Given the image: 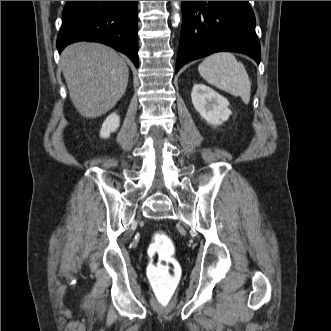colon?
<instances>
[{
	"instance_id": "colon-1",
	"label": "colon",
	"mask_w": 331,
	"mask_h": 331,
	"mask_svg": "<svg viewBox=\"0 0 331 331\" xmlns=\"http://www.w3.org/2000/svg\"><path fill=\"white\" fill-rule=\"evenodd\" d=\"M174 250L173 241L165 232L154 233L149 248L147 275L155 302L161 307H167L173 301L181 276Z\"/></svg>"
}]
</instances>
